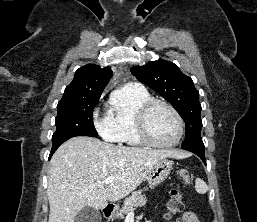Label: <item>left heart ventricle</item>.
<instances>
[{
	"instance_id": "left-heart-ventricle-1",
	"label": "left heart ventricle",
	"mask_w": 257,
	"mask_h": 222,
	"mask_svg": "<svg viewBox=\"0 0 257 222\" xmlns=\"http://www.w3.org/2000/svg\"><path fill=\"white\" fill-rule=\"evenodd\" d=\"M148 128L152 138L160 143L173 141L178 133V124L171 111L162 106H156L148 118Z\"/></svg>"
}]
</instances>
